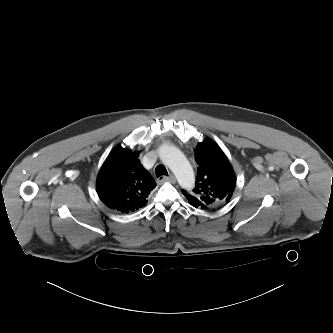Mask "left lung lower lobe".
I'll return each instance as SVG.
<instances>
[{
  "label": "left lung lower lobe",
  "instance_id": "left-lung-lower-lobe-1",
  "mask_svg": "<svg viewBox=\"0 0 333 333\" xmlns=\"http://www.w3.org/2000/svg\"><path fill=\"white\" fill-rule=\"evenodd\" d=\"M192 206H194L195 208H198V207H196V205H194V204H192V203H190Z\"/></svg>",
  "mask_w": 333,
  "mask_h": 333
}]
</instances>
